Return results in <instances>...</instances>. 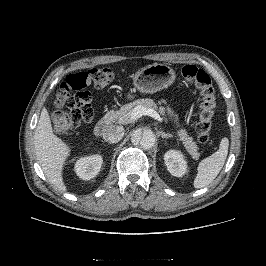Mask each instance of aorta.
I'll return each mask as SVG.
<instances>
[{"instance_id": "1", "label": "aorta", "mask_w": 266, "mask_h": 266, "mask_svg": "<svg viewBox=\"0 0 266 266\" xmlns=\"http://www.w3.org/2000/svg\"><path fill=\"white\" fill-rule=\"evenodd\" d=\"M132 143L140 145L142 148L148 150L151 149L156 142L155 134L152 130H135L131 137Z\"/></svg>"}]
</instances>
